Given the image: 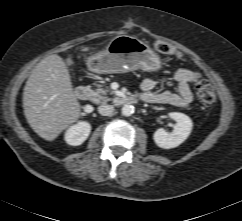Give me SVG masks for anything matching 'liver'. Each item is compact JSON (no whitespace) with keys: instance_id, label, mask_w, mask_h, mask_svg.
<instances>
[{"instance_id":"liver-1","label":"liver","mask_w":242,"mask_h":221,"mask_svg":"<svg viewBox=\"0 0 242 221\" xmlns=\"http://www.w3.org/2000/svg\"><path fill=\"white\" fill-rule=\"evenodd\" d=\"M23 108L31 128L47 141L78 120L81 106L59 55L45 57L32 70L24 87Z\"/></svg>"}]
</instances>
